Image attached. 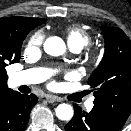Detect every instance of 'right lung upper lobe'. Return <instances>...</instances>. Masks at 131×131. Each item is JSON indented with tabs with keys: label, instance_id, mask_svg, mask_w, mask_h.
<instances>
[{
	"label": "right lung upper lobe",
	"instance_id": "cb5924a9",
	"mask_svg": "<svg viewBox=\"0 0 131 131\" xmlns=\"http://www.w3.org/2000/svg\"><path fill=\"white\" fill-rule=\"evenodd\" d=\"M45 19L28 17H3L0 18V60L9 52L15 32L20 26L28 23L42 24ZM13 92L7 87V74L0 70V97L9 95Z\"/></svg>",
	"mask_w": 131,
	"mask_h": 131
}]
</instances>
